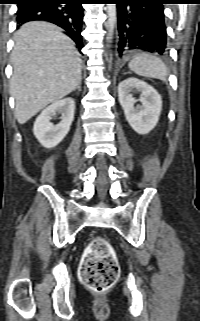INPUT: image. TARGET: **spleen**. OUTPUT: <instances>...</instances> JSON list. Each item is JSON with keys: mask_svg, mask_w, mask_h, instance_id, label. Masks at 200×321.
Returning a JSON list of instances; mask_svg holds the SVG:
<instances>
[{"mask_svg": "<svg viewBox=\"0 0 200 321\" xmlns=\"http://www.w3.org/2000/svg\"><path fill=\"white\" fill-rule=\"evenodd\" d=\"M128 67L143 77L165 80L168 76L165 63L160 58L146 53L135 56L129 62Z\"/></svg>", "mask_w": 200, "mask_h": 321, "instance_id": "spleen-1", "label": "spleen"}]
</instances>
